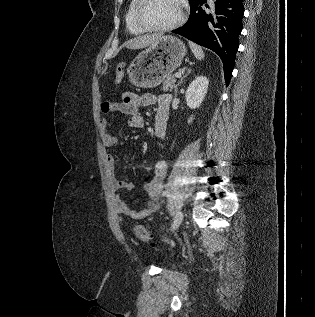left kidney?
<instances>
[{"instance_id": "5707ae66", "label": "left kidney", "mask_w": 315, "mask_h": 317, "mask_svg": "<svg viewBox=\"0 0 315 317\" xmlns=\"http://www.w3.org/2000/svg\"><path fill=\"white\" fill-rule=\"evenodd\" d=\"M209 80L206 76H199L194 79L186 90L185 98L187 106L196 109L200 108L208 90ZM193 121V115L188 119V123Z\"/></svg>"}]
</instances>
